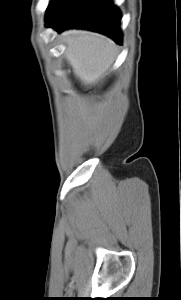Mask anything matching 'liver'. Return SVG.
I'll use <instances>...</instances> for the list:
<instances>
[{
	"label": "liver",
	"mask_w": 181,
	"mask_h": 300,
	"mask_svg": "<svg viewBox=\"0 0 181 300\" xmlns=\"http://www.w3.org/2000/svg\"><path fill=\"white\" fill-rule=\"evenodd\" d=\"M64 57L83 85L98 83L110 71L117 56L115 43L93 32L70 30L62 34Z\"/></svg>",
	"instance_id": "6515ba94"
}]
</instances>
